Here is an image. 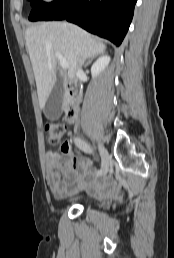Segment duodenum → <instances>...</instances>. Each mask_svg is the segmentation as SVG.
Here are the masks:
<instances>
[{
	"mask_svg": "<svg viewBox=\"0 0 174 258\" xmlns=\"http://www.w3.org/2000/svg\"><path fill=\"white\" fill-rule=\"evenodd\" d=\"M67 98V120L70 123L75 122L79 112V95L78 89L73 86H68L66 92Z\"/></svg>",
	"mask_w": 174,
	"mask_h": 258,
	"instance_id": "1",
	"label": "duodenum"
}]
</instances>
